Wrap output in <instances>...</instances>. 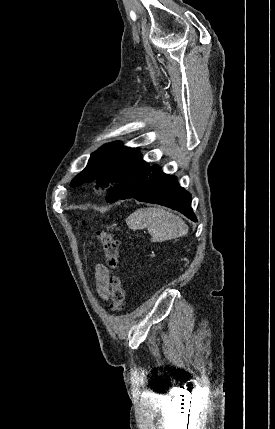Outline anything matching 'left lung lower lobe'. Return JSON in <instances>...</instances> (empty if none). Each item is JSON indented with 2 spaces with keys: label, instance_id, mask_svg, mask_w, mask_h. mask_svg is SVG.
Masks as SVG:
<instances>
[{
  "label": "left lung lower lobe",
  "instance_id": "0a47b994",
  "mask_svg": "<svg viewBox=\"0 0 275 429\" xmlns=\"http://www.w3.org/2000/svg\"><path fill=\"white\" fill-rule=\"evenodd\" d=\"M109 194L107 200L135 198L178 210L189 219L197 221L191 208L190 193L180 187L176 176L165 174L157 164L149 166L123 194L118 185L109 189Z\"/></svg>",
  "mask_w": 275,
  "mask_h": 429
}]
</instances>
